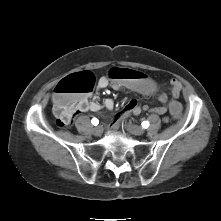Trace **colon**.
Returning a JSON list of instances; mask_svg holds the SVG:
<instances>
[{
    "mask_svg": "<svg viewBox=\"0 0 221 221\" xmlns=\"http://www.w3.org/2000/svg\"><path fill=\"white\" fill-rule=\"evenodd\" d=\"M106 76L110 82L123 84L136 93L149 97L156 96V93L161 90L160 83L143 70L136 71L113 65L107 69ZM94 85L95 76L89 71L68 76L56 85L53 102L58 126L66 127L71 124L76 114L78 98L90 92ZM168 108L173 121L180 122L184 119L185 107L178 100H170Z\"/></svg>",
    "mask_w": 221,
    "mask_h": 221,
    "instance_id": "obj_1",
    "label": "colon"
}]
</instances>
